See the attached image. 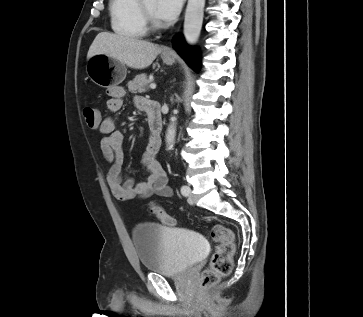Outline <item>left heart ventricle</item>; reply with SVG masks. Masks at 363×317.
<instances>
[{
    "label": "left heart ventricle",
    "instance_id": "left-heart-ventricle-1",
    "mask_svg": "<svg viewBox=\"0 0 363 317\" xmlns=\"http://www.w3.org/2000/svg\"><path fill=\"white\" fill-rule=\"evenodd\" d=\"M144 5L147 10L159 21L156 15V0H144Z\"/></svg>",
    "mask_w": 363,
    "mask_h": 317
}]
</instances>
